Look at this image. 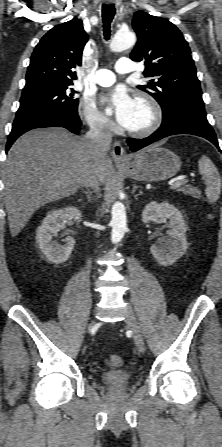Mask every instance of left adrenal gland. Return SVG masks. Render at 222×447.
I'll list each match as a JSON object with an SVG mask.
<instances>
[{"mask_svg": "<svg viewBox=\"0 0 222 447\" xmlns=\"http://www.w3.org/2000/svg\"><path fill=\"white\" fill-rule=\"evenodd\" d=\"M142 188L141 186L136 185L135 183L133 184V189H132V194H134L136 192L137 189Z\"/></svg>", "mask_w": 222, "mask_h": 447, "instance_id": "obj_1", "label": "left adrenal gland"}]
</instances>
